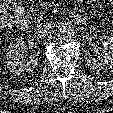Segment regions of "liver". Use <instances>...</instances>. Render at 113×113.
I'll list each match as a JSON object with an SVG mask.
<instances>
[{
  "instance_id": "obj_1",
  "label": "liver",
  "mask_w": 113,
  "mask_h": 113,
  "mask_svg": "<svg viewBox=\"0 0 113 113\" xmlns=\"http://www.w3.org/2000/svg\"><path fill=\"white\" fill-rule=\"evenodd\" d=\"M1 23H2V22L0 21V29H1V27H2V26H1Z\"/></svg>"
}]
</instances>
